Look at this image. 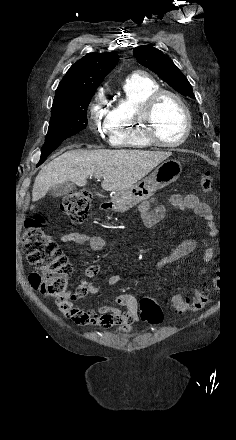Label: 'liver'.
Masks as SVG:
<instances>
[{
  "label": "liver",
  "instance_id": "6515ba94",
  "mask_svg": "<svg viewBox=\"0 0 236 440\" xmlns=\"http://www.w3.org/2000/svg\"><path fill=\"white\" fill-rule=\"evenodd\" d=\"M171 152L143 150H70L42 168L36 176L32 200L45 197L55 185L73 182L82 187L87 178H103L101 187L105 191H122L135 185ZM34 206H31L33 209Z\"/></svg>",
  "mask_w": 236,
  "mask_h": 440
}]
</instances>
